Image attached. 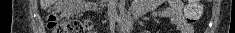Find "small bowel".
<instances>
[{
	"label": "small bowel",
	"mask_w": 235,
	"mask_h": 33,
	"mask_svg": "<svg viewBox=\"0 0 235 33\" xmlns=\"http://www.w3.org/2000/svg\"><path fill=\"white\" fill-rule=\"evenodd\" d=\"M161 0H140L133 5V13L141 16L151 13L155 17L169 18L179 33H193V28L183 13L184 4L181 0H168L167 6L159 9Z\"/></svg>",
	"instance_id": "c3829d8e"
}]
</instances>
